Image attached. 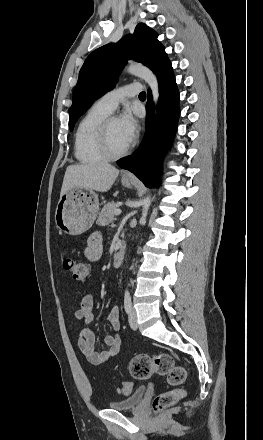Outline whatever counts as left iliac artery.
I'll return each instance as SVG.
<instances>
[{"instance_id": "1", "label": "left iliac artery", "mask_w": 263, "mask_h": 440, "mask_svg": "<svg viewBox=\"0 0 263 440\" xmlns=\"http://www.w3.org/2000/svg\"><path fill=\"white\" fill-rule=\"evenodd\" d=\"M131 296L128 290L125 291V296H124V308L126 313H129L131 310Z\"/></svg>"}]
</instances>
